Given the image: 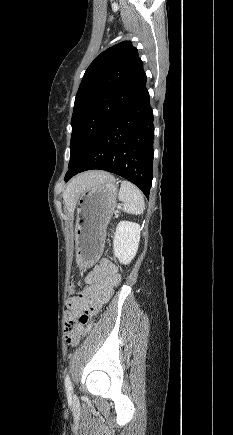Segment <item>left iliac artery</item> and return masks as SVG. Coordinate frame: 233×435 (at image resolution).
<instances>
[{
	"mask_svg": "<svg viewBox=\"0 0 233 435\" xmlns=\"http://www.w3.org/2000/svg\"><path fill=\"white\" fill-rule=\"evenodd\" d=\"M64 382H65V388H66L67 392H71L73 388H72L71 380H70V377L68 374L65 376Z\"/></svg>",
	"mask_w": 233,
	"mask_h": 435,
	"instance_id": "44dca946",
	"label": "left iliac artery"
}]
</instances>
